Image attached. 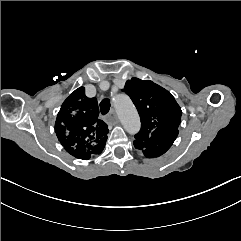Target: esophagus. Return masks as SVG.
Returning <instances> with one entry per match:
<instances>
[{
  "instance_id": "esophagus-1",
  "label": "esophagus",
  "mask_w": 241,
  "mask_h": 241,
  "mask_svg": "<svg viewBox=\"0 0 241 241\" xmlns=\"http://www.w3.org/2000/svg\"><path fill=\"white\" fill-rule=\"evenodd\" d=\"M108 116H109V118H110L113 122H117V121H118L117 114L115 113L114 110H111Z\"/></svg>"
}]
</instances>
